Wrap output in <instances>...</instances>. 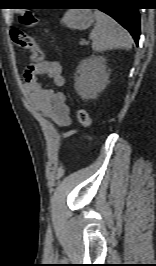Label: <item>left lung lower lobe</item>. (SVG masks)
<instances>
[{"mask_svg":"<svg viewBox=\"0 0 156 266\" xmlns=\"http://www.w3.org/2000/svg\"><path fill=\"white\" fill-rule=\"evenodd\" d=\"M92 1L93 2L89 3V5L110 6L102 7L100 8V10L110 15L125 29H127L134 38L136 45H138V40L140 37V15L138 12V8L131 7L130 5L126 4L117 5L116 0Z\"/></svg>","mask_w":156,"mask_h":266,"instance_id":"obj_1","label":"left lung lower lobe"}]
</instances>
